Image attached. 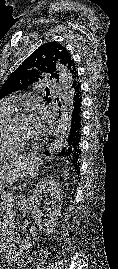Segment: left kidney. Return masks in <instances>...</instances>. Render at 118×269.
Returning a JSON list of instances; mask_svg holds the SVG:
<instances>
[{
    "label": "left kidney",
    "mask_w": 118,
    "mask_h": 269,
    "mask_svg": "<svg viewBox=\"0 0 118 269\" xmlns=\"http://www.w3.org/2000/svg\"><path fill=\"white\" fill-rule=\"evenodd\" d=\"M60 186L57 180L52 177L44 178L39 181L32 191L30 199V212L35 223L40 230L46 233H52L57 226L58 219L61 216V194ZM49 192L51 195V208L49 209V219L43 218V214L39 209L42 193Z\"/></svg>",
    "instance_id": "1"
}]
</instances>
